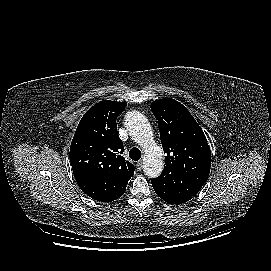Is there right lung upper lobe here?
<instances>
[{
  "label": "right lung upper lobe",
  "mask_w": 271,
  "mask_h": 271,
  "mask_svg": "<svg viewBox=\"0 0 271 271\" xmlns=\"http://www.w3.org/2000/svg\"><path fill=\"white\" fill-rule=\"evenodd\" d=\"M125 107L126 102L105 100L84 114L70 146L74 175H97L128 183L134 166L122 156L124 147L116 124Z\"/></svg>",
  "instance_id": "obj_1"
}]
</instances>
